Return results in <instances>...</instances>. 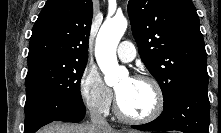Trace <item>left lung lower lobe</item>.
<instances>
[{
  "label": "left lung lower lobe",
  "mask_w": 221,
  "mask_h": 133,
  "mask_svg": "<svg viewBox=\"0 0 221 133\" xmlns=\"http://www.w3.org/2000/svg\"><path fill=\"white\" fill-rule=\"evenodd\" d=\"M206 85H191L179 91L154 121L133 125L149 131L178 130L184 133H209L210 104Z\"/></svg>",
  "instance_id": "1"
}]
</instances>
